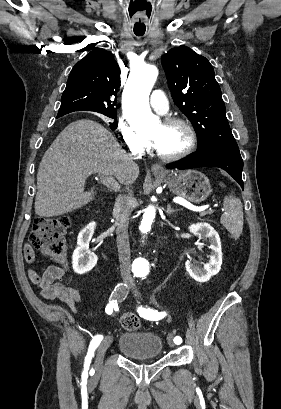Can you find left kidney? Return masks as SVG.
<instances>
[{"label": "left kidney", "instance_id": "left-kidney-1", "mask_svg": "<svg viewBox=\"0 0 281 409\" xmlns=\"http://www.w3.org/2000/svg\"><path fill=\"white\" fill-rule=\"evenodd\" d=\"M190 233L197 235V237H206L210 243L209 249H211L210 261L204 265L203 269L193 265L191 261H186V271L190 277L198 283H207L213 275H217L222 265V251L220 237L216 233L215 229L208 225V223H195L190 225Z\"/></svg>", "mask_w": 281, "mask_h": 409}]
</instances>
